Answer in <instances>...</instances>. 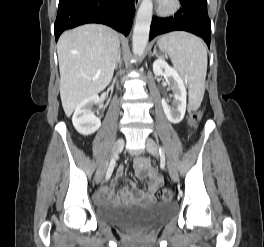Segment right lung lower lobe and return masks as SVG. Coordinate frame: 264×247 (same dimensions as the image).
<instances>
[{
	"instance_id": "1",
	"label": "right lung lower lobe",
	"mask_w": 264,
	"mask_h": 247,
	"mask_svg": "<svg viewBox=\"0 0 264 247\" xmlns=\"http://www.w3.org/2000/svg\"><path fill=\"white\" fill-rule=\"evenodd\" d=\"M134 12V0H59L55 39L64 30L86 23L105 24L128 35Z\"/></svg>"
}]
</instances>
